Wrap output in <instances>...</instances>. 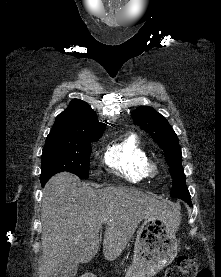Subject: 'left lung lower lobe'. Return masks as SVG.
I'll use <instances>...</instances> for the list:
<instances>
[{"label":"left lung lower lobe","instance_id":"1","mask_svg":"<svg viewBox=\"0 0 221 277\" xmlns=\"http://www.w3.org/2000/svg\"><path fill=\"white\" fill-rule=\"evenodd\" d=\"M184 201H186L191 206V199H190V197L185 198Z\"/></svg>","mask_w":221,"mask_h":277}]
</instances>
